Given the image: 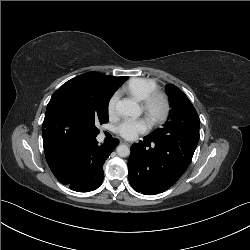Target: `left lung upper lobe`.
<instances>
[{
  "instance_id": "left-lung-upper-lobe-1",
  "label": "left lung upper lobe",
  "mask_w": 250,
  "mask_h": 250,
  "mask_svg": "<svg viewBox=\"0 0 250 250\" xmlns=\"http://www.w3.org/2000/svg\"><path fill=\"white\" fill-rule=\"evenodd\" d=\"M170 100L169 120L163 128H158L148 136L156 139L170 138L178 132L188 133L199 129L200 119L187 96L175 85L166 86Z\"/></svg>"
}]
</instances>
